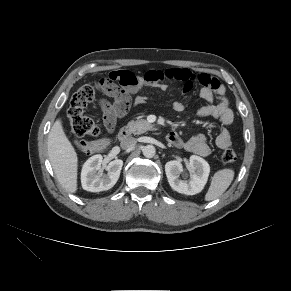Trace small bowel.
Returning a JSON list of instances; mask_svg holds the SVG:
<instances>
[{
	"label": "small bowel",
	"instance_id": "c3829d8e",
	"mask_svg": "<svg viewBox=\"0 0 291 291\" xmlns=\"http://www.w3.org/2000/svg\"><path fill=\"white\" fill-rule=\"evenodd\" d=\"M109 79L111 87L106 95L113 99V103L104 101L101 105L104 125L108 129H112L116 120L127 114L132 101L136 106L145 102L146 96L143 94L145 88H157L163 91L166 89L165 81H177L183 84V92L187 94L191 92L195 82H199L202 85L199 96L207 104L196 109V115L218 120L220 130L216 137L217 146L225 149L231 145L228 127L234 120V113L230 108L225 87L210 74L202 73L196 76L186 68H170L166 70L153 69L142 76H136L130 71L120 70L111 72ZM114 81H119L121 87L117 86ZM173 109L181 112L185 109V103L175 101ZM168 137V141L178 148H184L201 156H207L210 153L207 139L203 134L194 135L186 141L175 132H171Z\"/></svg>",
	"mask_w": 291,
	"mask_h": 291
}]
</instances>
